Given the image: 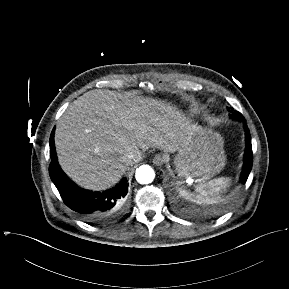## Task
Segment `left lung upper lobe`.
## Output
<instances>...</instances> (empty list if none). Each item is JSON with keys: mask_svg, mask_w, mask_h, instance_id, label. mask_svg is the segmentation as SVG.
I'll return each mask as SVG.
<instances>
[{"mask_svg": "<svg viewBox=\"0 0 289 289\" xmlns=\"http://www.w3.org/2000/svg\"><path fill=\"white\" fill-rule=\"evenodd\" d=\"M233 116H234L235 118H237V119L245 120L244 117L242 116V114L239 113V112H234V113H233Z\"/></svg>", "mask_w": 289, "mask_h": 289, "instance_id": "left-lung-upper-lobe-1", "label": "left lung upper lobe"}]
</instances>
